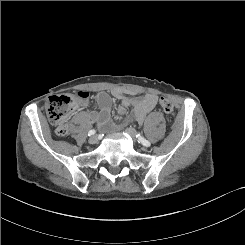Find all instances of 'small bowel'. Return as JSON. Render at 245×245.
<instances>
[{
	"instance_id": "small-bowel-1",
	"label": "small bowel",
	"mask_w": 245,
	"mask_h": 245,
	"mask_svg": "<svg viewBox=\"0 0 245 245\" xmlns=\"http://www.w3.org/2000/svg\"><path fill=\"white\" fill-rule=\"evenodd\" d=\"M111 95L119 100V104L116 108L117 118L125 123H143L147 114L151 112L158 103V96L155 94L130 96L122 90H113L112 94L105 91L99 92L96 97L99 110H93L90 112L91 119L99 126L107 124L111 117L113 111ZM79 105L85 106L86 99L80 102ZM129 107L132 108V111L127 114L126 110Z\"/></svg>"
}]
</instances>
